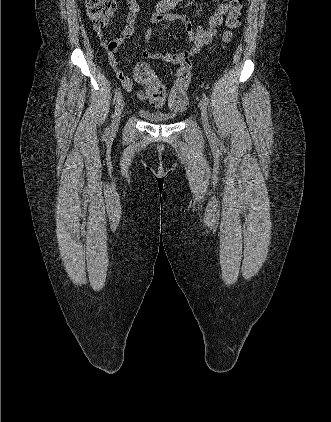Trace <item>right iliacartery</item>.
I'll return each instance as SVG.
<instances>
[{
    "label": "right iliac artery",
    "instance_id": "right-iliac-artery-1",
    "mask_svg": "<svg viewBox=\"0 0 331 422\" xmlns=\"http://www.w3.org/2000/svg\"><path fill=\"white\" fill-rule=\"evenodd\" d=\"M121 97V90H118L114 96L113 102L116 103Z\"/></svg>",
    "mask_w": 331,
    "mask_h": 422
}]
</instances>
